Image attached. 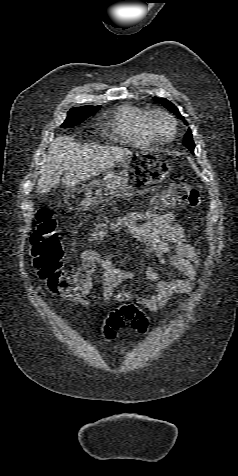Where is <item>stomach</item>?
Masks as SVG:
<instances>
[{"label": "stomach", "instance_id": "stomach-1", "mask_svg": "<svg viewBox=\"0 0 238 476\" xmlns=\"http://www.w3.org/2000/svg\"><path fill=\"white\" fill-rule=\"evenodd\" d=\"M125 156L113 167L93 179L80 182L65 191L64 202L69 209L87 210L115 196L144 195L164 183L171 167L165 156Z\"/></svg>", "mask_w": 238, "mask_h": 476}]
</instances>
